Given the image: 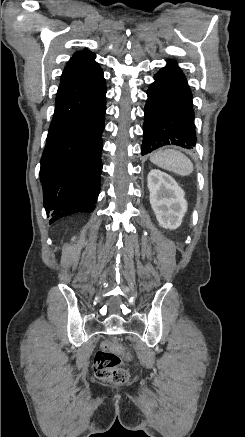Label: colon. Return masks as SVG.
Returning a JSON list of instances; mask_svg holds the SVG:
<instances>
[{"instance_id":"1","label":"colon","mask_w":245,"mask_h":437,"mask_svg":"<svg viewBox=\"0 0 245 437\" xmlns=\"http://www.w3.org/2000/svg\"><path fill=\"white\" fill-rule=\"evenodd\" d=\"M130 358L129 351L114 338L107 339L94 358L93 369L96 376L114 384H123L129 374L122 367V359Z\"/></svg>"}]
</instances>
